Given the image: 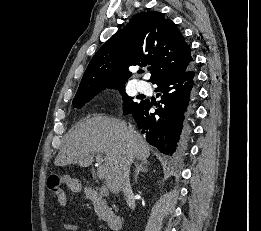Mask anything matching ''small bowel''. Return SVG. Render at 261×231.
Masks as SVG:
<instances>
[{"label":"small bowel","mask_w":261,"mask_h":231,"mask_svg":"<svg viewBox=\"0 0 261 231\" xmlns=\"http://www.w3.org/2000/svg\"><path fill=\"white\" fill-rule=\"evenodd\" d=\"M59 200L62 203H65V198L64 196H60ZM63 228L65 231H77V225L73 224V223H66L63 225ZM86 231H92V230H86Z\"/></svg>","instance_id":"obj_1"}]
</instances>
